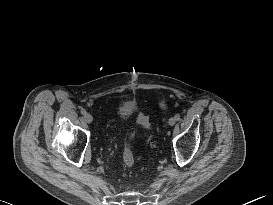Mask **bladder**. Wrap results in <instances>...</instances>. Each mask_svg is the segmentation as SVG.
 Returning <instances> with one entry per match:
<instances>
[{
  "mask_svg": "<svg viewBox=\"0 0 273 205\" xmlns=\"http://www.w3.org/2000/svg\"><path fill=\"white\" fill-rule=\"evenodd\" d=\"M136 107L137 104L135 101L132 100L121 101L117 107L119 117L121 119H128L134 114Z\"/></svg>",
  "mask_w": 273,
  "mask_h": 205,
  "instance_id": "31cf9c89",
  "label": "bladder"
}]
</instances>
